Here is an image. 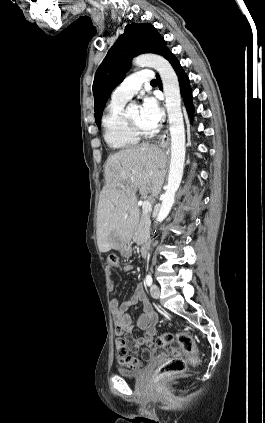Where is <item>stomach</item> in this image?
<instances>
[{
    "label": "stomach",
    "mask_w": 265,
    "mask_h": 423,
    "mask_svg": "<svg viewBox=\"0 0 265 423\" xmlns=\"http://www.w3.org/2000/svg\"><path fill=\"white\" fill-rule=\"evenodd\" d=\"M119 250L124 257L131 256V244L129 240H125L120 244Z\"/></svg>",
    "instance_id": "obj_1"
}]
</instances>
